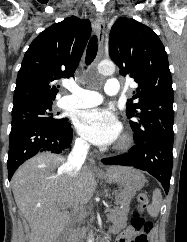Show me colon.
<instances>
[{
    "mask_svg": "<svg viewBox=\"0 0 187 242\" xmlns=\"http://www.w3.org/2000/svg\"><path fill=\"white\" fill-rule=\"evenodd\" d=\"M147 205L148 196L146 193H140L137 196V206L131 222L135 234L130 242H149L153 223L146 218Z\"/></svg>",
    "mask_w": 187,
    "mask_h": 242,
    "instance_id": "5ec220e1",
    "label": "colon"
}]
</instances>
